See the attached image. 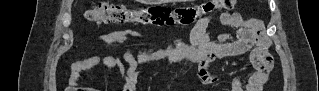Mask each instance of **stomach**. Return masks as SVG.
Returning a JSON list of instances; mask_svg holds the SVG:
<instances>
[{
    "mask_svg": "<svg viewBox=\"0 0 319 91\" xmlns=\"http://www.w3.org/2000/svg\"><path fill=\"white\" fill-rule=\"evenodd\" d=\"M166 0H144L146 4H157V3H162L165 2Z\"/></svg>",
    "mask_w": 319,
    "mask_h": 91,
    "instance_id": "0dacf381",
    "label": "stomach"
}]
</instances>
